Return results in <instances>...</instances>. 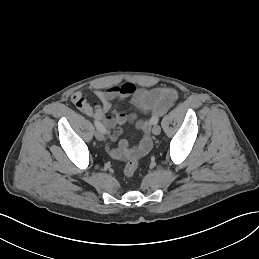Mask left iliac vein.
I'll list each match as a JSON object with an SVG mask.
<instances>
[{
	"instance_id": "left-iliac-vein-1",
	"label": "left iliac vein",
	"mask_w": 259,
	"mask_h": 259,
	"mask_svg": "<svg viewBox=\"0 0 259 259\" xmlns=\"http://www.w3.org/2000/svg\"><path fill=\"white\" fill-rule=\"evenodd\" d=\"M152 132H153L154 135H159L160 132H161V127L159 125H154L153 129H152Z\"/></svg>"
}]
</instances>
